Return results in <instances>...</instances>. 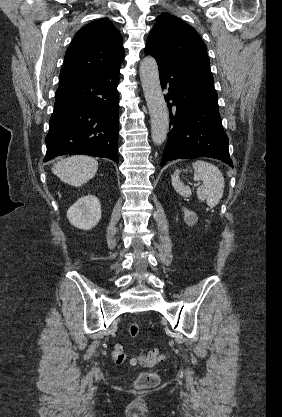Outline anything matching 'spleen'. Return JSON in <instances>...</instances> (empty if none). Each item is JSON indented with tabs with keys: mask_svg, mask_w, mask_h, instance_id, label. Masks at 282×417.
I'll list each match as a JSON object with an SVG mask.
<instances>
[{
	"mask_svg": "<svg viewBox=\"0 0 282 417\" xmlns=\"http://www.w3.org/2000/svg\"><path fill=\"white\" fill-rule=\"evenodd\" d=\"M192 166L194 168V180H203V184L198 186L196 190L197 198L201 202L202 200H206L208 206H211L212 209V206H216L223 196L225 186L224 176L215 164L206 162V160H196ZM178 172L179 170H176L172 176L173 188L181 196H191L190 186H184L178 176Z\"/></svg>",
	"mask_w": 282,
	"mask_h": 417,
	"instance_id": "spleen-1",
	"label": "spleen"
}]
</instances>
